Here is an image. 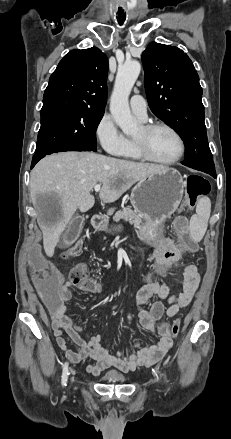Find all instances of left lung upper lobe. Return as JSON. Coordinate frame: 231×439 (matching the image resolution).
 <instances>
[{
  "label": "left lung upper lobe",
  "instance_id": "1",
  "mask_svg": "<svg viewBox=\"0 0 231 439\" xmlns=\"http://www.w3.org/2000/svg\"><path fill=\"white\" fill-rule=\"evenodd\" d=\"M145 89L152 112L183 139V165L215 172L204 123L199 76L177 47L151 42L142 54Z\"/></svg>",
  "mask_w": 231,
  "mask_h": 439
}]
</instances>
